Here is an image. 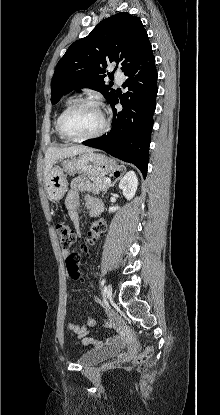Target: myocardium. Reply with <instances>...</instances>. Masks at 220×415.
<instances>
[{
  "label": "myocardium",
  "mask_w": 220,
  "mask_h": 415,
  "mask_svg": "<svg viewBox=\"0 0 220 415\" xmlns=\"http://www.w3.org/2000/svg\"><path fill=\"white\" fill-rule=\"evenodd\" d=\"M85 105H92L97 107L100 112L102 113L103 116V123L101 128L88 136H84V137H72L70 135L67 134V132L64 129V123L66 118L75 110H77L78 108L85 106ZM109 127V118L108 115L103 107V105L101 104V102H99L96 99H92V98H85V99H80L75 101L72 105H70L60 116L59 121H58V133L60 134V136L68 141L71 142H83V141H88V140H92V139H96L100 136H102L108 129Z\"/></svg>",
  "instance_id": "myocardium-1"
}]
</instances>
